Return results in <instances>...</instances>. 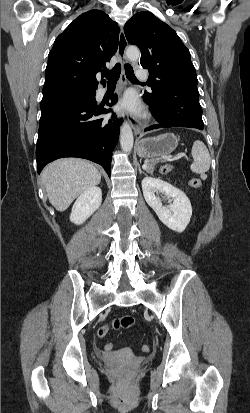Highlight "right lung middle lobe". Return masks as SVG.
<instances>
[{"instance_id": "1", "label": "right lung middle lobe", "mask_w": 250, "mask_h": 413, "mask_svg": "<svg viewBox=\"0 0 250 413\" xmlns=\"http://www.w3.org/2000/svg\"><path fill=\"white\" fill-rule=\"evenodd\" d=\"M94 90H68L54 93L51 97L67 96L72 94H90Z\"/></svg>"}]
</instances>
